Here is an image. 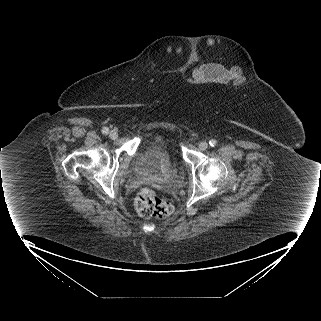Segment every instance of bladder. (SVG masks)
Masks as SVG:
<instances>
[{
	"label": "bladder",
	"instance_id": "bladder-1",
	"mask_svg": "<svg viewBox=\"0 0 321 321\" xmlns=\"http://www.w3.org/2000/svg\"><path fill=\"white\" fill-rule=\"evenodd\" d=\"M175 169L174 148L167 140L149 142L140 151L134 163L137 175L154 180L167 178Z\"/></svg>",
	"mask_w": 321,
	"mask_h": 321
}]
</instances>
